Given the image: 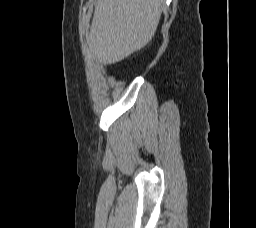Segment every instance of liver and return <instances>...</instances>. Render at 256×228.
<instances>
[{"label": "liver", "mask_w": 256, "mask_h": 228, "mask_svg": "<svg viewBox=\"0 0 256 228\" xmlns=\"http://www.w3.org/2000/svg\"><path fill=\"white\" fill-rule=\"evenodd\" d=\"M164 0H97L87 39L100 64L121 61L145 47L160 21Z\"/></svg>", "instance_id": "obj_1"}]
</instances>
